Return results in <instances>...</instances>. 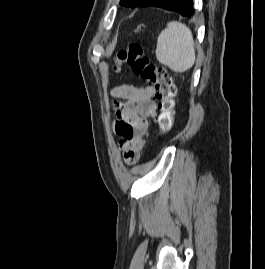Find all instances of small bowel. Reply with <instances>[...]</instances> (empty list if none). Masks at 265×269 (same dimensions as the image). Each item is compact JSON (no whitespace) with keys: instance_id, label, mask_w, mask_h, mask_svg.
Listing matches in <instances>:
<instances>
[{"instance_id":"1","label":"small bowel","mask_w":265,"mask_h":269,"mask_svg":"<svg viewBox=\"0 0 265 269\" xmlns=\"http://www.w3.org/2000/svg\"><path fill=\"white\" fill-rule=\"evenodd\" d=\"M110 94L114 98L124 100L116 109V128L121 121H124L135 129L132 139L121 136L120 141L125 162L134 164L139 159L140 150L149 135L150 124L147 118L152 117L156 112V104L153 100L154 88L122 85L114 87Z\"/></svg>"}]
</instances>
